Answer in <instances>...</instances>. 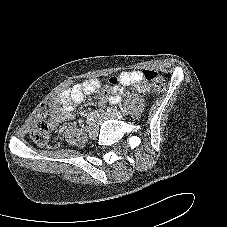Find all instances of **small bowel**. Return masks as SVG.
Returning <instances> with one entry per match:
<instances>
[{
  "label": "small bowel",
  "mask_w": 227,
  "mask_h": 227,
  "mask_svg": "<svg viewBox=\"0 0 227 227\" xmlns=\"http://www.w3.org/2000/svg\"><path fill=\"white\" fill-rule=\"evenodd\" d=\"M126 87H131L133 92L139 94L149 92V86L144 83L142 71H124L119 74L116 85L102 92L101 101L118 103ZM100 88L101 83L99 80L89 79L61 91L56 97L58 106L54 109L49 119L50 126L56 128L63 121L71 119L76 104L81 102L84 96L94 93Z\"/></svg>",
  "instance_id": "small-bowel-1"
}]
</instances>
